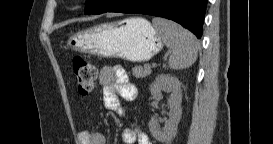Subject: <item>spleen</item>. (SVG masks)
I'll list each match as a JSON object with an SVG mask.
<instances>
[{
  "mask_svg": "<svg viewBox=\"0 0 273 144\" xmlns=\"http://www.w3.org/2000/svg\"><path fill=\"white\" fill-rule=\"evenodd\" d=\"M153 25L164 44L172 51L169 66L174 70L190 67L197 59L195 36L179 24L160 17L153 18Z\"/></svg>",
  "mask_w": 273,
  "mask_h": 144,
  "instance_id": "1",
  "label": "spleen"
}]
</instances>
